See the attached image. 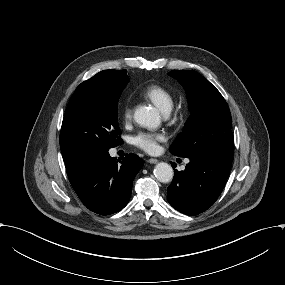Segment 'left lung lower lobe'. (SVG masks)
Segmentation results:
<instances>
[{"label":"left lung lower lobe","mask_w":285,"mask_h":285,"mask_svg":"<svg viewBox=\"0 0 285 285\" xmlns=\"http://www.w3.org/2000/svg\"><path fill=\"white\" fill-rule=\"evenodd\" d=\"M188 158L190 162L184 171L175 170L167 189V198L179 212L197 215L207 210L219 197L227 181L232 157L209 153Z\"/></svg>","instance_id":"1"}]
</instances>
